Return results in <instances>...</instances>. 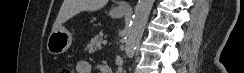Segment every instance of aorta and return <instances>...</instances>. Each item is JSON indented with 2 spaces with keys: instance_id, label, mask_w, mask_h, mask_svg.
Instances as JSON below:
<instances>
[{
  "instance_id": "obj_1",
  "label": "aorta",
  "mask_w": 244,
  "mask_h": 73,
  "mask_svg": "<svg viewBox=\"0 0 244 73\" xmlns=\"http://www.w3.org/2000/svg\"><path fill=\"white\" fill-rule=\"evenodd\" d=\"M153 4L154 0H138L125 40V53L127 55L134 52L147 24Z\"/></svg>"
}]
</instances>
